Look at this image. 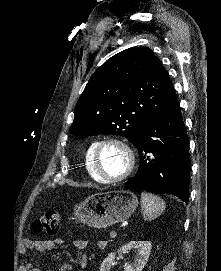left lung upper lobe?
<instances>
[{"label":"left lung upper lobe","instance_id":"5c2ea615","mask_svg":"<svg viewBox=\"0 0 221 271\" xmlns=\"http://www.w3.org/2000/svg\"><path fill=\"white\" fill-rule=\"evenodd\" d=\"M175 100L168 72L154 53L129 48L94 72L76 104L71 133L122 135L134 144L142 127Z\"/></svg>","mask_w":221,"mask_h":271}]
</instances>
